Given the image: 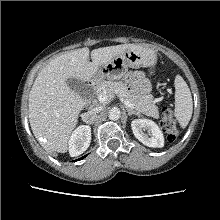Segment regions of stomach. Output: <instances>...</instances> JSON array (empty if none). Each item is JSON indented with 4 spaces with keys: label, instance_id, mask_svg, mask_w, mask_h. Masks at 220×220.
<instances>
[{
    "label": "stomach",
    "instance_id": "obj_1",
    "mask_svg": "<svg viewBox=\"0 0 220 220\" xmlns=\"http://www.w3.org/2000/svg\"><path fill=\"white\" fill-rule=\"evenodd\" d=\"M157 61L156 52L148 47L134 45L127 48L122 54L115 56L101 65L92 78L94 84H101L104 79H123L128 68L153 67Z\"/></svg>",
    "mask_w": 220,
    "mask_h": 220
}]
</instances>
